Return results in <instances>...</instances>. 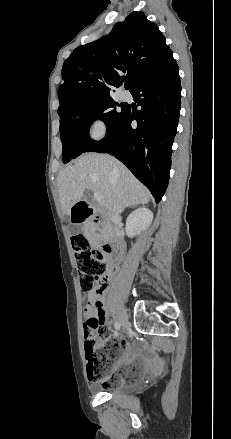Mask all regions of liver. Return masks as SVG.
<instances>
[{
  "mask_svg": "<svg viewBox=\"0 0 231 439\" xmlns=\"http://www.w3.org/2000/svg\"><path fill=\"white\" fill-rule=\"evenodd\" d=\"M62 211L70 215L86 189L100 193V207L111 217L125 207L147 204L151 194L117 159L106 154H84L74 165L62 169L57 178Z\"/></svg>",
  "mask_w": 231,
  "mask_h": 439,
  "instance_id": "6515ba94",
  "label": "liver"
}]
</instances>
